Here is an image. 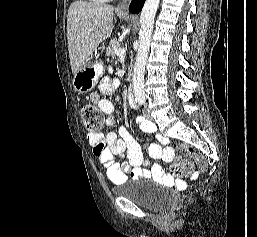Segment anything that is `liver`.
<instances>
[{"label": "liver", "instance_id": "6515ba94", "mask_svg": "<svg viewBox=\"0 0 257 237\" xmlns=\"http://www.w3.org/2000/svg\"><path fill=\"white\" fill-rule=\"evenodd\" d=\"M114 7L73 2L67 16V40L72 73L89 59L99 44L111 36Z\"/></svg>", "mask_w": 257, "mask_h": 237}]
</instances>
